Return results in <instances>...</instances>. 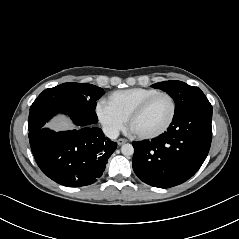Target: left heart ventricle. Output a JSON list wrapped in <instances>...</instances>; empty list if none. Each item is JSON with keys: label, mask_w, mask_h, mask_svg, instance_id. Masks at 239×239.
<instances>
[{"label": "left heart ventricle", "mask_w": 239, "mask_h": 239, "mask_svg": "<svg viewBox=\"0 0 239 239\" xmlns=\"http://www.w3.org/2000/svg\"><path fill=\"white\" fill-rule=\"evenodd\" d=\"M171 113L170 100L166 96H158L132 121L130 130L135 134L155 132L168 122Z\"/></svg>", "instance_id": "b2bd125f"}]
</instances>
